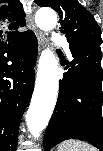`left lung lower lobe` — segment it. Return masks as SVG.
<instances>
[{"instance_id":"left-lung-lower-lobe-1","label":"left lung lower lobe","mask_w":103,"mask_h":151,"mask_svg":"<svg viewBox=\"0 0 103 151\" xmlns=\"http://www.w3.org/2000/svg\"><path fill=\"white\" fill-rule=\"evenodd\" d=\"M74 58L65 69L55 110L46 129L44 150L79 139L103 151V96L99 45H70ZM64 65V64H62Z\"/></svg>"}]
</instances>
